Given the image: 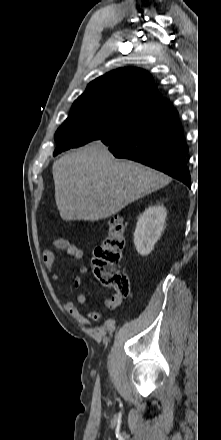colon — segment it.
Listing matches in <instances>:
<instances>
[{
    "label": "colon",
    "mask_w": 221,
    "mask_h": 440,
    "mask_svg": "<svg viewBox=\"0 0 221 440\" xmlns=\"http://www.w3.org/2000/svg\"><path fill=\"white\" fill-rule=\"evenodd\" d=\"M125 240V225L119 216L110 219L109 229L103 242L96 247L93 258L97 280L110 288L115 295L127 297L130 293L129 278L116 268L122 257Z\"/></svg>",
    "instance_id": "5ec220e1"
}]
</instances>
